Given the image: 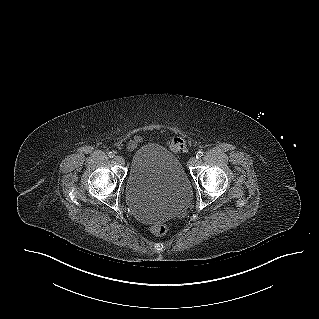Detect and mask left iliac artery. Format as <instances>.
I'll return each instance as SVG.
<instances>
[{
  "mask_svg": "<svg viewBox=\"0 0 319 319\" xmlns=\"http://www.w3.org/2000/svg\"><path fill=\"white\" fill-rule=\"evenodd\" d=\"M203 154H204V153H203L202 151L197 152L196 158H197V159L201 158V157L203 156Z\"/></svg>",
  "mask_w": 319,
  "mask_h": 319,
  "instance_id": "44dca946",
  "label": "left iliac artery"
}]
</instances>
